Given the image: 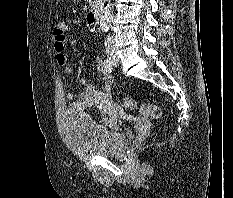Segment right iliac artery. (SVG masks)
Listing matches in <instances>:
<instances>
[{
    "label": "right iliac artery",
    "instance_id": "obj_1",
    "mask_svg": "<svg viewBox=\"0 0 233 198\" xmlns=\"http://www.w3.org/2000/svg\"><path fill=\"white\" fill-rule=\"evenodd\" d=\"M104 67H105V70L108 72V73H111L112 72V60L111 58H107L105 61H104Z\"/></svg>",
    "mask_w": 233,
    "mask_h": 198
}]
</instances>
